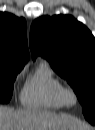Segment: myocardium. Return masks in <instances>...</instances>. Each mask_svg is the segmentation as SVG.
Listing matches in <instances>:
<instances>
[{"instance_id":"f54148a6","label":"myocardium","mask_w":95,"mask_h":130,"mask_svg":"<svg viewBox=\"0 0 95 130\" xmlns=\"http://www.w3.org/2000/svg\"><path fill=\"white\" fill-rule=\"evenodd\" d=\"M61 96L64 104L68 107H74L79 103V94L72 87H63Z\"/></svg>"}]
</instances>
